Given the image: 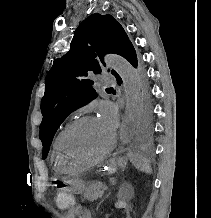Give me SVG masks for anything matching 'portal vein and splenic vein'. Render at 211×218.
<instances>
[{
    "label": "portal vein and splenic vein",
    "instance_id": "portal-vein-and-splenic-vein-1",
    "mask_svg": "<svg viewBox=\"0 0 211 218\" xmlns=\"http://www.w3.org/2000/svg\"><path fill=\"white\" fill-rule=\"evenodd\" d=\"M109 187L108 186H104V191H107V189H108Z\"/></svg>",
    "mask_w": 211,
    "mask_h": 218
}]
</instances>
